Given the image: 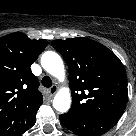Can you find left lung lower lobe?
I'll list each match as a JSON object with an SVG mask.
<instances>
[{
    "label": "left lung lower lobe",
    "instance_id": "1",
    "mask_svg": "<svg viewBox=\"0 0 136 136\" xmlns=\"http://www.w3.org/2000/svg\"><path fill=\"white\" fill-rule=\"evenodd\" d=\"M62 124L78 136H99L106 133L117 120L59 116Z\"/></svg>",
    "mask_w": 136,
    "mask_h": 136
}]
</instances>
